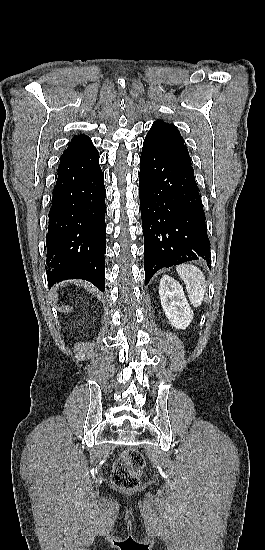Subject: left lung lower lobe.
<instances>
[{
    "instance_id": "obj_1",
    "label": "left lung lower lobe",
    "mask_w": 265,
    "mask_h": 550,
    "mask_svg": "<svg viewBox=\"0 0 265 550\" xmlns=\"http://www.w3.org/2000/svg\"><path fill=\"white\" fill-rule=\"evenodd\" d=\"M140 167L139 197L148 284L161 268L190 260H209L210 242L191 163L144 142Z\"/></svg>"
}]
</instances>
